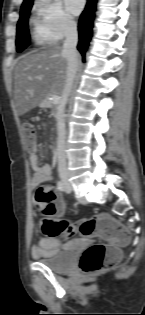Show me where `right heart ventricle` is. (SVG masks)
I'll return each instance as SVG.
<instances>
[{"mask_svg": "<svg viewBox=\"0 0 145 315\" xmlns=\"http://www.w3.org/2000/svg\"><path fill=\"white\" fill-rule=\"evenodd\" d=\"M34 26L32 30V36L36 44L42 45L46 44L48 42V39L46 38L42 28L38 24L36 20L33 21Z\"/></svg>", "mask_w": 145, "mask_h": 315, "instance_id": "right-heart-ventricle-1", "label": "right heart ventricle"}]
</instances>
